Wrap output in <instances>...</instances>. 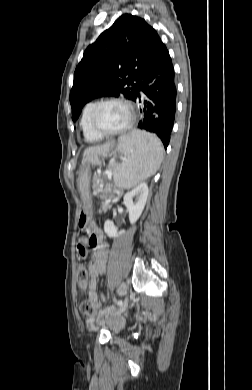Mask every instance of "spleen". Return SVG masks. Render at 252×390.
I'll return each instance as SVG.
<instances>
[{"label": "spleen", "mask_w": 252, "mask_h": 390, "mask_svg": "<svg viewBox=\"0 0 252 390\" xmlns=\"http://www.w3.org/2000/svg\"><path fill=\"white\" fill-rule=\"evenodd\" d=\"M118 141V149L127 159L114 168L113 177L117 187L130 189L155 174L163 159V146L157 136L133 130Z\"/></svg>", "instance_id": "3e777b00"}]
</instances>
